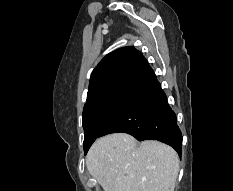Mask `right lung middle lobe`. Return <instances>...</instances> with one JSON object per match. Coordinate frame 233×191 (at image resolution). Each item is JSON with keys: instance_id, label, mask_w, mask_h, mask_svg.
Returning a JSON list of instances; mask_svg holds the SVG:
<instances>
[{"instance_id": "dd1d6c3e", "label": "right lung middle lobe", "mask_w": 233, "mask_h": 191, "mask_svg": "<svg viewBox=\"0 0 233 191\" xmlns=\"http://www.w3.org/2000/svg\"><path fill=\"white\" fill-rule=\"evenodd\" d=\"M128 95V91H123L84 106L82 117L85 134L83 145L85 154L103 129L126 105Z\"/></svg>"}]
</instances>
